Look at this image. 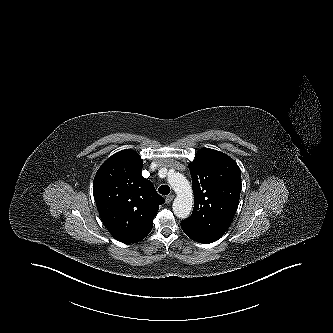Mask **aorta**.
<instances>
[{
    "instance_id": "762f6f07",
    "label": "aorta",
    "mask_w": 333,
    "mask_h": 333,
    "mask_svg": "<svg viewBox=\"0 0 333 333\" xmlns=\"http://www.w3.org/2000/svg\"><path fill=\"white\" fill-rule=\"evenodd\" d=\"M169 183L177 194L172 207L175 216L187 218L193 206V192L188 180L184 175L174 173L169 177Z\"/></svg>"
}]
</instances>
